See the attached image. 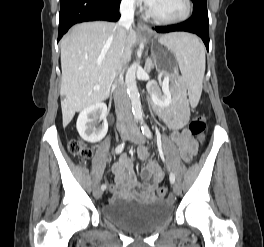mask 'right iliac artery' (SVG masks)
Listing matches in <instances>:
<instances>
[{
  "label": "right iliac artery",
  "mask_w": 264,
  "mask_h": 247,
  "mask_svg": "<svg viewBox=\"0 0 264 247\" xmlns=\"http://www.w3.org/2000/svg\"><path fill=\"white\" fill-rule=\"evenodd\" d=\"M124 147H125V143H124V142L121 143V144H119V145L116 147V149H115V153H116V154L121 153V152L124 150ZM101 189L104 191V190L106 189V185L103 184V185L101 186Z\"/></svg>",
  "instance_id": "obj_1"
}]
</instances>
